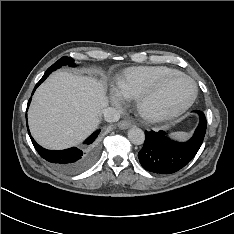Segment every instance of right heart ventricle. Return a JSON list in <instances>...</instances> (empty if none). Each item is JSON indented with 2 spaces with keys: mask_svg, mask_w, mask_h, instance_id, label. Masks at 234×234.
<instances>
[{
  "mask_svg": "<svg viewBox=\"0 0 234 234\" xmlns=\"http://www.w3.org/2000/svg\"><path fill=\"white\" fill-rule=\"evenodd\" d=\"M178 72L166 66H140L126 69L118 78L119 94L128 100L137 99L165 76Z\"/></svg>",
  "mask_w": 234,
  "mask_h": 234,
  "instance_id": "e07e8e85",
  "label": "right heart ventricle"
}]
</instances>
